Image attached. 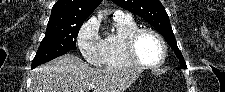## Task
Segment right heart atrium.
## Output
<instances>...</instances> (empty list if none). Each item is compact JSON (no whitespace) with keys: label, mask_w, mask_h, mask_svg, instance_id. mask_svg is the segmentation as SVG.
<instances>
[{"label":"right heart atrium","mask_w":225,"mask_h":92,"mask_svg":"<svg viewBox=\"0 0 225 92\" xmlns=\"http://www.w3.org/2000/svg\"><path fill=\"white\" fill-rule=\"evenodd\" d=\"M103 44L97 21L94 18L87 20L77 34V46L84 60L94 66L103 65Z\"/></svg>","instance_id":"1"}]
</instances>
